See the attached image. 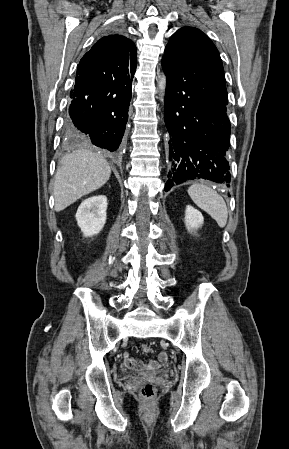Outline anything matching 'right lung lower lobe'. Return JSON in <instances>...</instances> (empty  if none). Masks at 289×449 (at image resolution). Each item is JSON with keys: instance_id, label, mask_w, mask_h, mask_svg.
<instances>
[{"instance_id": "right-lung-lower-lobe-1", "label": "right lung lower lobe", "mask_w": 289, "mask_h": 449, "mask_svg": "<svg viewBox=\"0 0 289 449\" xmlns=\"http://www.w3.org/2000/svg\"><path fill=\"white\" fill-rule=\"evenodd\" d=\"M134 73L93 82L76 79L70 94L67 132L74 137L88 138L98 147L116 151L128 121Z\"/></svg>"}]
</instances>
